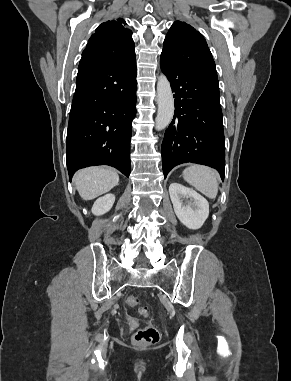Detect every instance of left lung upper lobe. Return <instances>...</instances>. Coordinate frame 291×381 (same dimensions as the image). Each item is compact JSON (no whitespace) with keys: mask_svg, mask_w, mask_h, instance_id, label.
Wrapping results in <instances>:
<instances>
[{"mask_svg":"<svg viewBox=\"0 0 291 381\" xmlns=\"http://www.w3.org/2000/svg\"><path fill=\"white\" fill-rule=\"evenodd\" d=\"M162 55L197 76L218 80L205 38L185 22L173 23L164 40Z\"/></svg>","mask_w":291,"mask_h":381,"instance_id":"1","label":"left lung upper lobe"}]
</instances>
